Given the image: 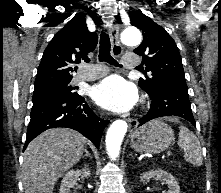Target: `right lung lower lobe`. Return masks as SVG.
Returning a JSON list of instances; mask_svg holds the SVG:
<instances>
[{
	"label": "right lung lower lobe",
	"mask_w": 221,
	"mask_h": 193,
	"mask_svg": "<svg viewBox=\"0 0 221 193\" xmlns=\"http://www.w3.org/2000/svg\"><path fill=\"white\" fill-rule=\"evenodd\" d=\"M107 123L94 114L82 96L36 100L33 101L24 150L32 139L53 127L77 130L98 148Z\"/></svg>",
	"instance_id": "98d812e1"
}]
</instances>
